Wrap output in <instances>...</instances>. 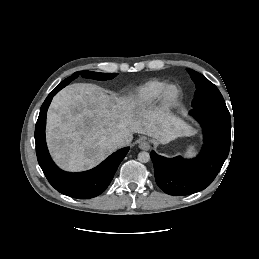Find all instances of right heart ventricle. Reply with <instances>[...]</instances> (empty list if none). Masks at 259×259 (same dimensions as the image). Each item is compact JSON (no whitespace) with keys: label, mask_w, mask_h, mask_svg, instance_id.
<instances>
[{"label":"right heart ventricle","mask_w":259,"mask_h":259,"mask_svg":"<svg viewBox=\"0 0 259 259\" xmlns=\"http://www.w3.org/2000/svg\"><path fill=\"white\" fill-rule=\"evenodd\" d=\"M167 82L161 79H152L137 87L131 94V101L138 109H148L159 100Z\"/></svg>","instance_id":"1"}]
</instances>
